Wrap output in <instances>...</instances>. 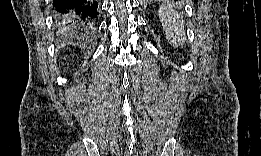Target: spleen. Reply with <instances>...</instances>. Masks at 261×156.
Wrapping results in <instances>:
<instances>
[{
	"instance_id": "3e777b00",
	"label": "spleen",
	"mask_w": 261,
	"mask_h": 156,
	"mask_svg": "<svg viewBox=\"0 0 261 156\" xmlns=\"http://www.w3.org/2000/svg\"><path fill=\"white\" fill-rule=\"evenodd\" d=\"M160 21L166 33V38L173 47L183 45L186 41L184 20L171 6H161L158 11Z\"/></svg>"
}]
</instances>
